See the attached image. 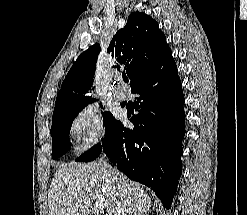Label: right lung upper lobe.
<instances>
[{
    "instance_id": "right-lung-upper-lobe-1",
    "label": "right lung upper lobe",
    "mask_w": 247,
    "mask_h": 215,
    "mask_svg": "<svg viewBox=\"0 0 247 215\" xmlns=\"http://www.w3.org/2000/svg\"><path fill=\"white\" fill-rule=\"evenodd\" d=\"M168 50L166 37L158 23L142 12H134L125 27L114 35L107 52L116 60L114 67L124 69L132 87L159 63ZM99 52L100 46L95 44L77 58L61 85L53 114L92 100L85 94L91 89Z\"/></svg>"
}]
</instances>
